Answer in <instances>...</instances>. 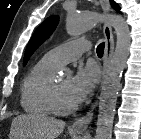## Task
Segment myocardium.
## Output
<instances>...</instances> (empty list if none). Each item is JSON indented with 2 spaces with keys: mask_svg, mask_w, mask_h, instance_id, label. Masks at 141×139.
<instances>
[{
  "mask_svg": "<svg viewBox=\"0 0 141 139\" xmlns=\"http://www.w3.org/2000/svg\"><path fill=\"white\" fill-rule=\"evenodd\" d=\"M50 101L53 111L57 114H70L73 113L77 108V104L65 105L60 98L59 89L56 80H52L50 85Z\"/></svg>",
  "mask_w": 141,
  "mask_h": 139,
  "instance_id": "f54148a6",
  "label": "myocardium"
}]
</instances>
